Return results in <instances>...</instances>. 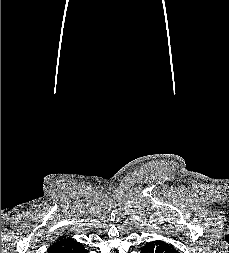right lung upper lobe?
Here are the masks:
<instances>
[{"mask_svg":"<svg viewBox=\"0 0 229 253\" xmlns=\"http://www.w3.org/2000/svg\"><path fill=\"white\" fill-rule=\"evenodd\" d=\"M73 241V239L71 238H67L66 236H62L59 240H57L52 246L50 247H56V246H59V245H63V244H66V243H69Z\"/></svg>","mask_w":229,"mask_h":253,"instance_id":"cb5924a9","label":"right lung upper lobe"}]
</instances>
